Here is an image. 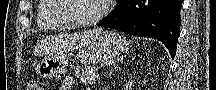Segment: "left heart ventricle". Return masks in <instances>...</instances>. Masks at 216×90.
<instances>
[{
    "label": "left heart ventricle",
    "mask_w": 216,
    "mask_h": 90,
    "mask_svg": "<svg viewBox=\"0 0 216 90\" xmlns=\"http://www.w3.org/2000/svg\"><path fill=\"white\" fill-rule=\"evenodd\" d=\"M68 6H72L68 16L76 21H87L99 13L102 3L98 0H68Z\"/></svg>",
    "instance_id": "obj_1"
}]
</instances>
